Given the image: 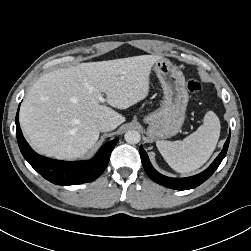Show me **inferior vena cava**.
<instances>
[{
	"label": "inferior vena cava",
	"instance_id": "602c4592",
	"mask_svg": "<svg viewBox=\"0 0 251 251\" xmlns=\"http://www.w3.org/2000/svg\"><path fill=\"white\" fill-rule=\"evenodd\" d=\"M97 126L100 131H110L116 128L115 124L107 119L101 118L97 121Z\"/></svg>",
	"mask_w": 251,
	"mask_h": 251
}]
</instances>
